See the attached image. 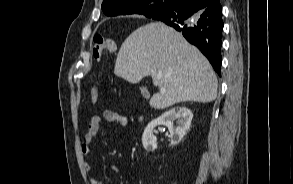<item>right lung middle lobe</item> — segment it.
Instances as JSON below:
<instances>
[{
  "label": "right lung middle lobe",
  "mask_w": 293,
  "mask_h": 184,
  "mask_svg": "<svg viewBox=\"0 0 293 184\" xmlns=\"http://www.w3.org/2000/svg\"><path fill=\"white\" fill-rule=\"evenodd\" d=\"M165 5H166V3H164V1L157 2L151 6V8L149 9V11L147 13L150 15V17H154L162 9H164Z\"/></svg>",
  "instance_id": "1"
}]
</instances>
